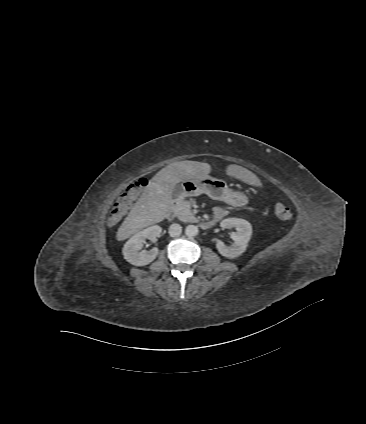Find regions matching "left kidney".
Masks as SVG:
<instances>
[{
  "label": "left kidney",
  "mask_w": 366,
  "mask_h": 424,
  "mask_svg": "<svg viewBox=\"0 0 366 424\" xmlns=\"http://www.w3.org/2000/svg\"><path fill=\"white\" fill-rule=\"evenodd\" d=\"M222 228H235L236 232H232L230 237L233 240L231 246L225 245L222 241H217L216 248L218 252L227 258H235L240 256L247 248L248 242L252 235L251 224L240 218H226L220 223Z\"/></svg>",
  "instance_id": "obj_1"
}]
</instances>
